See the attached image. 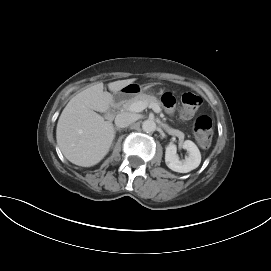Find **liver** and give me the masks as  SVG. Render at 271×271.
Wrapping results in <instances>:
<instances>
[{
  "label": "liver",
  "mask_w": 271,
  "mask_h": 271,
  "mask_svg": "<svg viewBox=\"0 0 271 271\" xmlns=\"http://www.w3.org/2000/svg\"><path fill=\"white\" fill-rule=\"evenodd\" d=\"M136 79L118 80L108 84L117 93ZM97 83L74 96L63 109L56 129L57 144L70 162L82 167L99 163L108 153L115 137L113 124L97 112H107L113 95Z\"/></svg>",
  "instance_id": "6515ba94"
}]
</instances>
